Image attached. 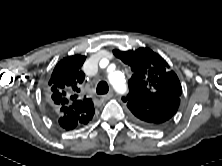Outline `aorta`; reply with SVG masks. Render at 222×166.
I'll return each mask as SVG.
<instances>
[{"label":"aorta","mask_w":222,"mask_h":166,"mask_svg":"<svg viewBox=\"0 0 222 166\" xmlns=\"http://www.w3.org/2000/svg\"><path fill=\"white\" fill-rule=\"evenodd\" d=\"M108 79L110 84L117 92L124 93L126 91V81L124 75L121 72H110L108 75Z\"/></svg>","instance_id":"obj_1"}]
</instances>
